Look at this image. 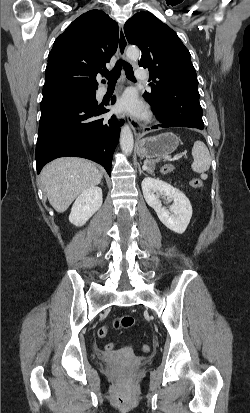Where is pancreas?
<instances>
[{"label":"pancreas","instance_id":"1","mask_svg":"<svg viewBox=\"0 0 250 413\" xmlns=\"http://www.w3.org/2000/svg\"><path fill=\"white\" fill-rule=\"evenodd\" d=\"M156 162H158V160H152L148 163V168H147L148 173H150V174L154 173ZM164 169H166V171H164ZM172 169H173L172 166H165V167L162 168L161 172L166 174V173L170 172Z\"/></svg>","mask_w":250,"mask_h":413}]
</instances>
